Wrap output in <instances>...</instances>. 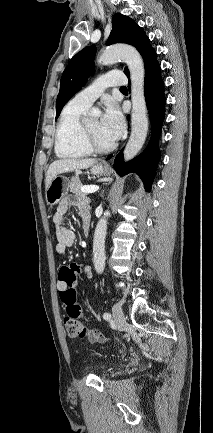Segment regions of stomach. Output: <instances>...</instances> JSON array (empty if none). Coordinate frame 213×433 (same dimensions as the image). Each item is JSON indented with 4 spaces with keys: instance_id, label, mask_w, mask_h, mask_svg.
<instances>
[{
    "instance_id": "stomach-1",
    "label": "stomach",
    "mask_w": 213,
    "mask_h": 433,
    "mask_svg": "<svg viewBox=\"0 0 213 433\" xmlns=\"http://www.w3.org/2000/svg\"><path fill=\"white\" fill-rule=\"evenodd\" d=\"M91 173L94 175H107L110 172L109 167L102 164H95L91 167ZM70 181L65 176H56L46 189L45 198L48 205L58 204L68 193Z\"/></svg>"
}]
</instances>
